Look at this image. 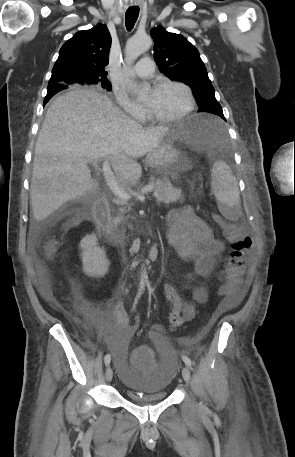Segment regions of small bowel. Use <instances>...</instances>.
Returning a JSON list of instances; mask_svg holds the SVG:
<instances>
[{
  "label": "small bowel",
  "instance_id": "small-bowel-1",
  "mask_svg": "<svg viewBox=\"0 0 295 457\" xmlns=\"http://www.w3.org/2000/svg\"><path fill=\"white\" fill-rule=\"evenodd\" d=\"M166 239L182 258L193 263L195 272L201 276H207L215 268L224 250L223 242L215 238L207 223L197 217L188 206L173 210L167 215ZM163 293L172 307L169 321L173 328L191 322L195 317L196 305L205 303L208 299L207 290L203 286L193 287L192 297L188 301H183L176 289L169 284L163 285ZM243 294L244 288L240 284L232 295L227 296L229 305L237 304ZM45 297L51 301L48 292ZM85 311L100 331L115 334L116 338L130 339L136 330V324H129L126 318L122 300H119L112 310L87 304ZM161 331L160 325L151 326L150 335L156 343L163 342Z\"/></svg>",
  "mask_w": 295,
  "mask_h": 457
}]
</instances>
